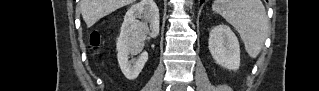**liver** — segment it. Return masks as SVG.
Returning <instances> with one entry per match:
<instances>
[{
	"instance_id": "liver-1",
	"label": "liver",
	"mask_w": 319,
	"mask_h": 91,
	"mask_svg": "<svg viewBox=\"0 0 319 91\" xmlns=\"http://www.w3.org/2000/svg\"><path fill=\"white\" fill-rule=\"evenodd\" d=\"M135 0H81L80 10L87 27Z\"/></svg>"
}]
</instances>
